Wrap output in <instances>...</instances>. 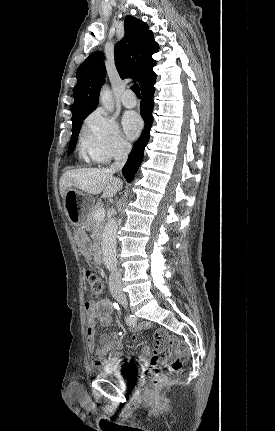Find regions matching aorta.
Returning <instances> with one entry per match:
<instances>
[{
  "label": "aorta",
  "instance_id": "1",
  "mask_svg": "<svg viewBox=\"0 0 275 431\" xmlns=\"http://www.w3.org/2000/svg\"><path fill=\"white\" fill-rule=\"evenodd\" d=\"M100 102L103 107L112 112L114 109V102L112 99L111 91L108 87H103L100 93ZM117 229L118 224L116 219H111L105 225L102 235V253L103 261L109 271H114L117 268Z\"/></svg>",
  "mask_w": 275,
  "mask_h": 431
}]
</instances>
